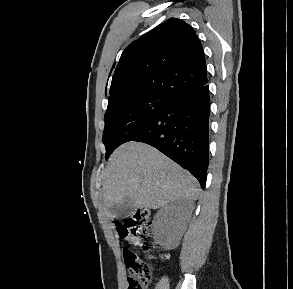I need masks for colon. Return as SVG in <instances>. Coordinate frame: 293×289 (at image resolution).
<instances>
[{"mask_svg": "<svg viewBox=\"0 0 293 289\" xmlns=\"http://www.w3.org/2000/svg\"><path fill=\"white\" fill-rule=\"evenodd\" d=\"M116 229L120 238L132 242L139 249L148 253L153 250V244L145 240L152 232V223L147 211L134 212L124 221L118 222ZM158 256L167 258L166 254ZM124 259L128 269L127 289H146L153 279L151 265L138 258L131 250L124 251Z\"/></svg>", "mask_w": 293, "mask_h": 289, "instance_id": "5ec220e1", "label": "colon"}]
</instances>
